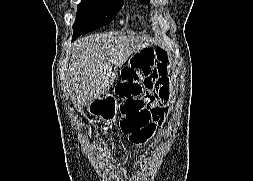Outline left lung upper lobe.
<instances>
[{"instance_id": "1", "label": "left lung upper lobe", "mask_w": 253, "mask_h": 181, "mask_svg": "<svg viewBox=\"0 0 253 181\" xmlns=\"http://www.w3.org/2000/svg\"><path fill=\"white\" fill-rule=\"evenodd\" d=\"M141 3H149L150 0H139Z\"/></svg>"}]
</instances>
